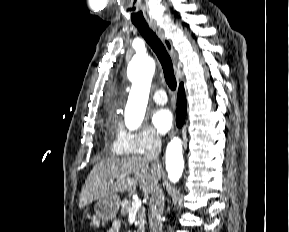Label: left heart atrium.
Masks as SVG:
<instances>
[{
    "label": "left heart atrium",
    "mask_w": 289,
    "mask_h": 232,
    "mask_svg": "<svg viewBox=\"0 0 289 232\" xmlns=\"http://www.w3.org/2000/svg\"><path fill=\"white\" fill-rule=\"evenodd\" d=\"M152 123L160 134L167 133L173 125V115L169 109L159 108L152 114Z\"/></svg>",
    "instance_id": "obj_1"
}]
</instances>
